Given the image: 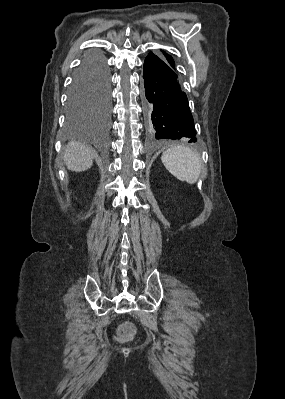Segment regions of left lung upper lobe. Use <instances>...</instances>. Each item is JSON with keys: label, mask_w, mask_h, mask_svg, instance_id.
<instances>
[{"label": "left lung upper lobe", "mask_w": 285, "mask_h": 399, "mask_svg": "<svg viewBox=\"0 0 285 399\" xmlns=\"http://www.w3.org/2000/svg\"><path fill=\"white\" fill-rule=\"evenodd\" d=\"M163 54L170 62H172L174 64V61L170 55H168L166 52H163Z\"/></svg>", "instance_id": "obj_1"}]
</instances>
